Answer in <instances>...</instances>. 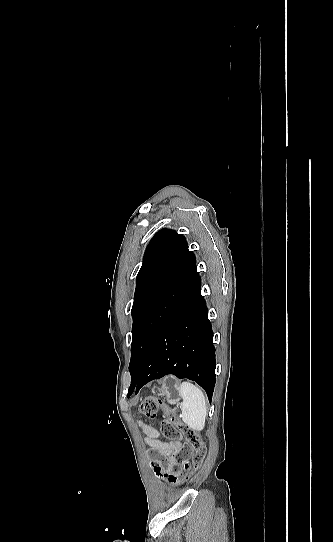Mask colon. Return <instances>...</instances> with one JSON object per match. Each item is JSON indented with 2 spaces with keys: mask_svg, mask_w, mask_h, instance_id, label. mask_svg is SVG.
<instances>
[{
  "mask_svg": "<svg viewBox=\"0 0 333 542\" xmlns=\"http://www.w3.org/2000/svg\"><path fill=\"white\" fill-rule=\"evenodd\" d=\"M160 410L164 438L171 441L183 439L187 444V449H174L173 457L162 455L151 463V468L159 479L169 485H179L188 473L199 469L207 454V449L199 435L188 426L178 422L174 412L165 408L160 399L149 396L139 407L140 413L148 419H155Z\"/></svg>",
  "mask_w": 333,
  "mask_h": 542,
  "instance_id": "5ec220e1",
  "label": "colon"
}]
</instances>
